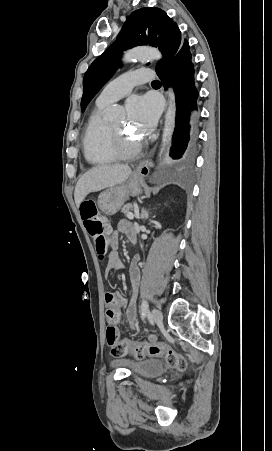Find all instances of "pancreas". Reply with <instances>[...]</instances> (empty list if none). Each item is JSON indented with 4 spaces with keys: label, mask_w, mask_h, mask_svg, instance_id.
Returning a JSON list of instances; mask_svg holds the SVG:
<instances>
[{
    "label": "pancreas",
    "mask_w": 272,
    "mask_h": 451,
    "mask_svg": "<svg viewBox=\"0 0 272 451\" xmlns=\"http://www.w3.org/2000/svg\"><path fill=\"white\" fill-rule=\"evenodd\" d=\"M133 206L132 204H125V206H123L121 212L122 214H125V216H128V212H130V210H132Z\"/></svg>",
    "instance_id": "obj_1"
}]
</instances>
